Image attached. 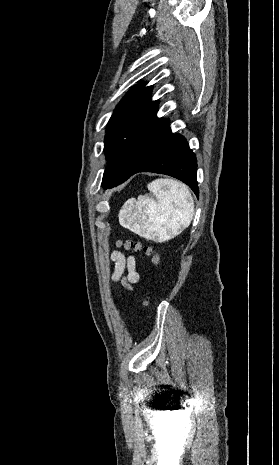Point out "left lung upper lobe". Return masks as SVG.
Segmentation results:
<instances>
[{
  "mask_svg": "<svg viewBox=\"0 0 279 465\" xmlns=\"http://www.w3.org/2000/svg\"><path fill=\"white\" fill-rule=\"evenodd\" d=\"M151 86L133 87L114 110L107 126L105 154L109 161L102 186L123 183L171 134L169 120L158 118V101H151Z\"/></svg>",
  "mask_w": 279,
  "mask_h": 465,
  "instance_id": "left-lung-upper-lobe-1",
  "label": "left lung upper lobe"
}]
</instances>
